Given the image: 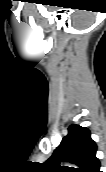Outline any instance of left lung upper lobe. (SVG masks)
<instances>
[{"label": "left lung upper lobe", "instance_id": "1", "mask_svg": "<svg viewBox=\"0 0 106 172\" xmlns=\"http://www.w3.org/2000/svg\"><path fill=\"white\" fill-rule=\"evenodd\" d=\"M97 146L86 127L71 125L53 155L43 164L49 172H100V162L96 158ZM62 160L79 168L60 166Z\"/></svg>", "mask_w": 106, "mask_h": 172}]
</instances>
